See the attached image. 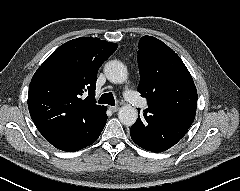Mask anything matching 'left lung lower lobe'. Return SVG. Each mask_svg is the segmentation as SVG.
<instances>
[{"instance_id":"1","label":"left lung lower lobe","mask_w":240,"mask_h":191,"mask_svg":"<svg viewBox=\"0 0 240 191\" xmlns=\"http://www.w3.org/2000/svg\"><path fill=\"white\" fill-rule=\"evenodd\" d=\"M143 115L144 117H139L131 127L130 134L137 145L148 151H165L185 135L182 130L170 127L161 121L152 122L150 115L145 110Z\"/></svg>"}]
</instances>
